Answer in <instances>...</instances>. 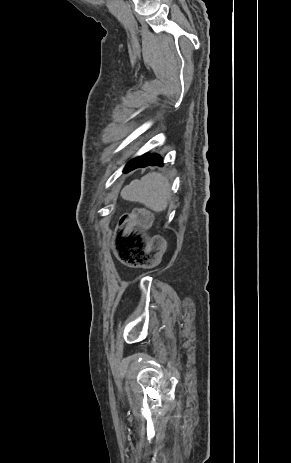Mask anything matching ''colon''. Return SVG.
<instances>
[{
    "instance_id": "obj_1",
    "label": "colon",
    "mask_w": 291,
    "mask_h": 463,
    "mask_svg": "<svg viewBox=\"0 0 291 463\" xmlns=\"http://www.w3.org/2000/svg\"><path fill=\"white\" fill-rule=\"evenodd\" d=\"M151 214L144 209H136L123 215L117 225L114 251L117 259L129 267H140L156 259L162 245V238L147 239L136 227L148 226Z\"/></svg>"
}]
</instances>
